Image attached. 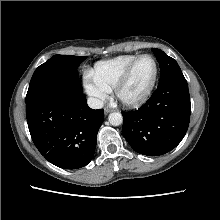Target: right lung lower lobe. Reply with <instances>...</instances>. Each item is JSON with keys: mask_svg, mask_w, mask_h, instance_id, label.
Returning <instances> with one entry per match:
<instances>
[{"mask_svg": "<svg viewBox=\"0 0 220 220\" xmlns=\"http://www.w3.org/2000/svg\"><path fill=\"white\" fill-rule=\"evenodd\" d=\"M77 85L82 89L80 83ZM26 115L32 140L49 162L63 169H77L91 161L104 110L89 108L82 91L28 103Z\"/></svg>", "mask_w": 220, "mask_h": 220, "instance_id": "1", "label": "right lung lower lobe"}]
</instances>
